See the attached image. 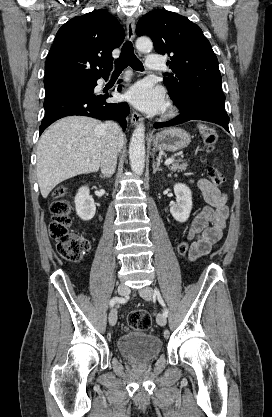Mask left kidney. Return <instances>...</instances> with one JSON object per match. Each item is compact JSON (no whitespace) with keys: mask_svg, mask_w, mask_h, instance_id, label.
Segmentation results:
<instances>
[{"mask_svg":"<svg viewBox=\"0 0 272 417\" xmlns=\"http://www.w3.org/2000/svg\"><path fill=\"white\" fill-rule=\"evenodd\" d=\"M176 203L170 207L173 218L180 222H186L192 210V193L188 186L182 183L174 185Z\"/></svg>","mask_w":272,"mask_h":417,"instance_id":"5707ae66","label":"left kidney"}]
</instances>
